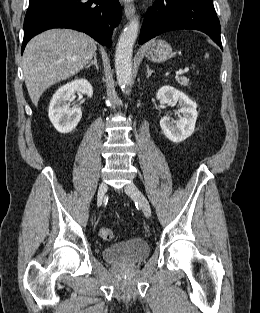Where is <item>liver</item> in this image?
Returning <instances> with one entry per match:
<instances>
[{
  "instance_id": "1",
  "label": "liver",
  "mask_w": 260,
  "mask_h": 313,
  "mask_svg": "<svg viewBox=\"0 0 260 313\" xmlns=\"http://www.w3.org/2000/svg\"><path fill=\"white\" fill-rule=\"evenodd\" d=\"M97 43L85 33L51 29L29 41L23 55V74L28 94L37 106L43 92L85 67Z\"/></svg>"
}]
</instances>
